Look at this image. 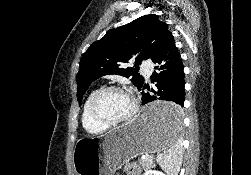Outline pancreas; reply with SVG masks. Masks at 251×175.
<instances>
[{
    "mask_svg": "<svg viewBox=\"0 0 251 175\" xmlns=\"http://www.w3.org/2000/svg\"><path fill=\"white\" fill-rule=\"evenodd\" d=\"M138 161L144 169H150V167H154L155 165L153 157H145V159H138Z\"/></svg>",
    "mask_w": 251,
    "mask_h": 175,
    "instance_id": "obj_1",
    "label": "pancreas"
}]
</instances>
